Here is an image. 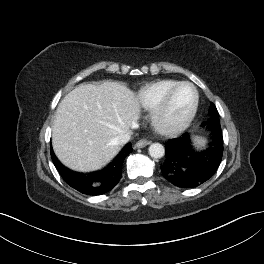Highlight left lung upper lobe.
<instances>
[{"label": "left lung upper lobe", "instance_id": "left-lung-upper-lobe-1", "mask_svg": "<svg viewBox=\"0 0 264 264\" xmlns=\"http://www.w3.org/2000/svg\"><path fill=\"white\" fill-rule=\"evenodd\" d=\"M209 113L212 115V117L204 123V126L208 129H214V128H220V120L218 118L219 114L218 111L213 103H211L209 108Z\"/></svg>", "mask_w": 264, "mask_h": 264}]
</instances>
